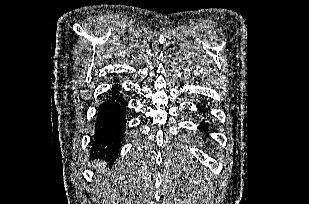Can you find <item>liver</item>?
Listing matches in <instances>:
<instances>
[{
    "label": "liver",
    "instance_id": "6515ba94",
    "mask_svg": "<svg viewBox=\"0 0 309 204\" xmlns=\"http://www.w3.org/2000/svg\"><path fill=\"white\" fill-rule=\"evenodd\" d=\"M96 167L98 168L97 169L98 173H104L106 171L105 165L102 162H97Z\"/></svg>",
    "mask_w": 309,
    "mask_h": 204
}]
</instances>
